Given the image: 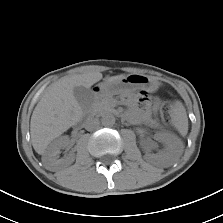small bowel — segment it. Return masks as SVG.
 I'll return each mask as SVG.
<instances>
[{"mask_svg":"<svg viewBox=\"0 0 223 223\" xmlns=\"http://www.w3.org/2000/svg\"><path fill=\"white\" fill-rule=\"evenodd\" d=\"M140 102L143 105H147L149 112L152 113H156L161 106V101L156 97L141 99Z\"/></svg>","mask_w":223,"mask_h":223,"instance_id":"obj_1","label":"small bowel"}]
</instances>
